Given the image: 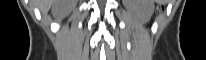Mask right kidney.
<instances>
[{"instance_id": "obj_1", "label": "right kidney", "mask_w": 206, "mask_h": 60, "mask_svg": "<svg viewBox=\"0 0 206 60\" xmlns=\"http://www.w3.org/2000/svg\"><path fill=\"white\" fill-rule=\"evenodd\" d=\"M53 13L57 16H64L67 13V10L64 8V4L55 3L53 7Z\"/></svg>"}]
</instances>
